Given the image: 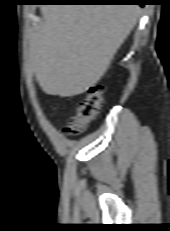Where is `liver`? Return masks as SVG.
I'll return each mask as SVG.
<instances>
[{
  "label": "liver",
  "instance_id": "liver-1",
  "mask_svg": "<svg viewBox=\"0 0 170 231\" xmlns=\"http://www.w3.org/2000/svg\"><path fill=\"white\" fill-rule=\"evenodd\" d=\"M30 41L29 60L42 90L71 97L94 86L130 34L138 5H47Z\"/></svg>",
  "mask_w": 170,
  "mask_h": 231
}]
</instances>
